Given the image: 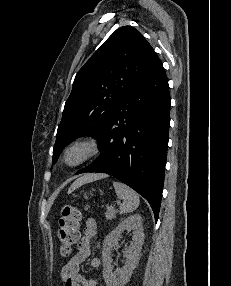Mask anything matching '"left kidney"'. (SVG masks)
I'll list each match as a JSON object with an SVG mask.
<instances>
[{
  "instance_id": "1",
  "label": "left kidney",
  "mask_w": 231,
  "mask_h": 286,
  "mask_svg": "<svg viewBox=\"0 0 231 286\" xmlns=\"http://www.w3.org/2000/svg\"><path fill=\"white\" fill-rule=\"evenodd\" d=\"M125 230H133L130 246L126 249L125 265L117 272H112V248L117 245L120 235ZM144 239L142 217L131 215L121 221L118 226L105 237L102 249L103 278L107 286H124L130 279L138 263V257Z\"/></svg>"
}]
</instances>
